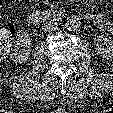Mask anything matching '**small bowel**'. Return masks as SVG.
Masks as SVG:
<instances>
[{
    "label": "small bowel",
    "instance_id": "small-bowel-1",
    "mask_svg": "<svg viewBox=\"0 0 113 113\" xmlns=\"http://www.w3.org/2000/svg\"><path fill=\"white\" fill-rule=\"evenodd\" d=\"M87 19L99 29L107 31L111 35H113V21L112 20L98 13L88 14Z\"/></svg>",
    "mask_w": 113,
    "mask_h": 113
}]
</instances>
